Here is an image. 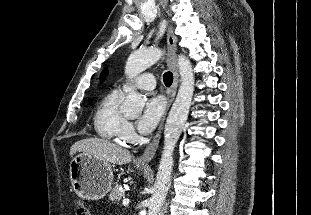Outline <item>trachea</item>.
I'll list each match as a JSON object with an SVG mask.
<instances>
[{
    "mask_svg": "<svg viewBox=\"0 0 311 215\" xmlns=\"http://www.w3.org/2000/svg\"><path fill=\"white\" fill-rule=\"evenodd\" d=\"M163 82H164L165 86H167V87L171 86V84L173 82V74L171 72L164 73Z\"/></svg>",
    "mask_w": 311,
    "mask_h": 215,
    "instance_id": "trachea-1",
    "label": "trachea"
}]
</instances>
